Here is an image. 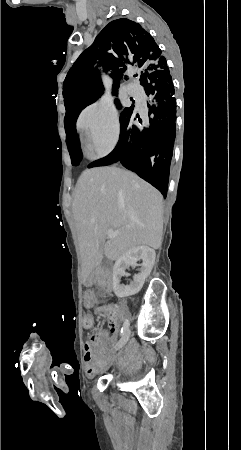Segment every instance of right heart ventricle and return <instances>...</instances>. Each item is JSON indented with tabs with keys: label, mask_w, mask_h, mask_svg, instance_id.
I'll return each instance as SVG.
<instances>
[{
	"label": "right heart ventricle",
	"mask_w": 241,
	"mask_h": 450,
	"mask_svg": "<svg viewBox=\"0 0 241 450\" xmlns=\"http://www.w3.org/2000/svg\"><path fill=\"white\" fill-rule=\"evenodd\" d=\"M85 139H87V138H86L85 128L83 127V128H81V141H82L83 147L86 149V147H85V144H86L85 143Z\"/></svg>",
	"instance_id": "e07e8e85"
}]
</instances>
